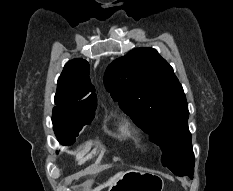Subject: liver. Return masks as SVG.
Returning a JSON list of instances; mask_svg holds the SVG:
<instances>
[{"instance_id":"obj_1","label":"liver","mask_w":233,"mask_h":191,"mask_svg":"<svg viewBox=\"0 0 233 191\" xmlns=\"http://www.w3.org/2000/svg\"><path fill=\"white\" fill-rule=\"evenodd\" d=\"M122 172H119L115 174L113 177H111L105 184L99 185L92 191H101L105 186H111L118 178L121 176Z\"/></svg>"}]
</instances>
